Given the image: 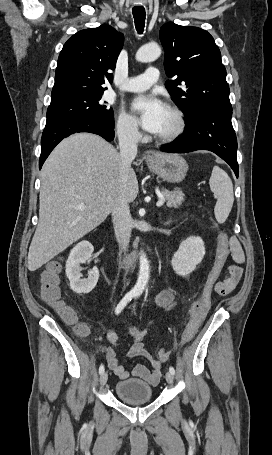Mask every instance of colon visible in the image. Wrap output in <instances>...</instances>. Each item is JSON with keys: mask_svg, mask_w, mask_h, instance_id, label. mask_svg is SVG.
Segmentation results:
<instances>
[{"mask_svg": "<svg viewBox=\"0 0 272 455\" xmlns=\"http://www.w3.org/2000/svg\"><path fill=\"white\" fill-rule=\"evenodd\" d=\"M217 240L218 242L214 262L208 272L199 299L193 302L190 307V319L182 333L180 342L178 344L179 347L192 340L202 322L204 321L211 304L212 296L214 293V286L219 280L229 257V236L227 233L223 230H219ZM59 271L60 265L58 262H52L48 265L47 269L44 271L41 277L40 294L42 299L53 308H55L65 320L74 322L76 319L74 311L62 300V290L58 277ZM77 331L84 334L87 330L85 326L78 325ZM171 353L172 350L161 349L157 352V358L161 362L166 361L170 357Z\"/></svg>", "mask_w": 272, "mask_h": 455, "instance_id": "obj_1", "label": "colon"}]
</instances>
